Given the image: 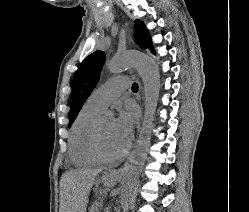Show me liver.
Masks as SVG:
<instances>
[{
	"instance_id": "1",
	"label": "liver",
	"mask_w": 249,
	"mask_h": 212,
	"mask_svg": "<svg viewBox=\"0 0 249 212\" xmlns=\"http://www.w3.org/2000/svg\"><path fill=\"white\" fill-rule=\"evenodd\" d=\"M103 168L98 170H70L65 174L67 182V212H86L89 202V194L93 184H104L105 188H114L119 178L120 170H108L104 172L101 180L97 182L96 176L102 172Z\"/></svg>"
}]
</instances>
